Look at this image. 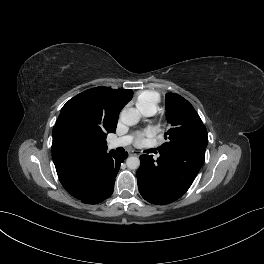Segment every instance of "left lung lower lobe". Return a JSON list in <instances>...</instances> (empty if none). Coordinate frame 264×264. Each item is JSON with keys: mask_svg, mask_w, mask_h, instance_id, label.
<instances>
[{"mask_svg": "<svg viewBox=\"0 0 264 264\" xmlns=\"http://www.w3.org/2000/svg\"><path fill=\"white\" fill-rule=\"evenodd\" d=\"M206 147L195 146L192 155L186 150L163 152L159 157L141 155L137 171L140 194L150 203L163 205L181 197L191 186L204 163Z\"/></svg>", "mask_w": 264, "mask_h": 264, "instance_id": "obj_1", "label": "left lung lower lobe"}]
</instances>
